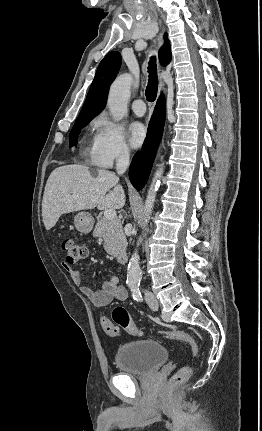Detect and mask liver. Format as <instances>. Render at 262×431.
Wrapping results in <instances>:
<instances>
[{
	"mask_svg": "<svg viewBox=\"0 0 262 431\" xmlns=\"http://www.w3.org/2000/svg\"><path fill=\"white\" fill-rule=\"evenodd\" d=\"M125 202L123 187L115 173L104 169L92 172L89 167L77 164L60 166L52 171L45 186L42 200L44 226L50 230L65 213L95 207L99 210L121 209Z\"/></svg>",
	"mask_w": 262,
	"mask_h": 431,
	"instance_id": "obj_1",
	"label": "liver"
}]
</instances>
